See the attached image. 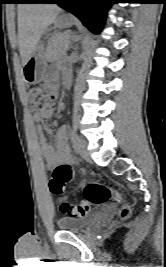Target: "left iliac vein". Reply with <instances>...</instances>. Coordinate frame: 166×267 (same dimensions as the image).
<instances>
[{
  "instance_id": "4c4485c4",
  "label": "left iliac vein",
  "mask_w": 166,
  "mask_h": 267,
  "mask_svg": "<svg viewBox=\"0 0 166 267\" xmlns=\"http://www.w3.org/2000/svg\"><path fill=\"white\" fill-rule=\"evenodd\" d=\"M76 150L83 159L90 161L89 152L87 150V143L80 137H77L76 140Z\"/></svg>"
}]
</instances>
